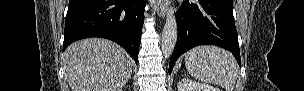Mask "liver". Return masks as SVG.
I'll use <instances>...</instances> for the list:
<instances>
[{
	"label": "liver",
	"instance_id": "1",
	"mask_svg": "<svg viewBox=\"0 0 304 91\" xmlns=\"http://www.w3.org/2000/svg\"><path fill=\"white\" fill-rule=\"evenodd\" d=\"M63 56L72 91H119L130 79L134 64L122 47L101 38L74 42Z\"/></svg>",
	"mask_w": 304,
	"mask_h": 91
}]
</instances>
